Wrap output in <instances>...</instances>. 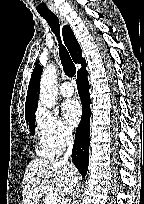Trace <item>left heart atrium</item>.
I'll return each mask as SVG.
<instances>
[{
    "instance_id": "39dd6f15",
    "label": "left heart atrium",
    "mask_w": 144,
    "mask_h": 204,
    "mask_svg": "<svg viewBox=\"0 0 144 204\" xmlns=\"http://www.w3.org/2000/svg\"><path fill=\"white\" fill-rule=\"evenodd\" d=\"M62 112L66 122L70 126L74 127L78 124L81 118L82 109L80 103L77 100L69 99L62 104Z\"/></svg>"
}]
</instances>
